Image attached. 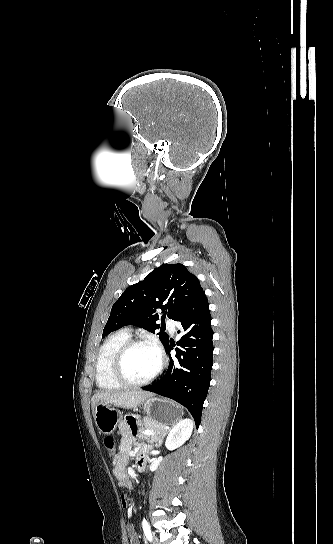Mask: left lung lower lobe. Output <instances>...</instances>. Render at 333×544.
<instances>
[{"mask_svg": "<svg viewBox=\"0 0 333 544\" xmlns=\"http://www.w3.org/2000/svg\"><path fill=\"white\" fill-rule=\"evenodd\" d=\"M175 321L182 326L177 332L182 335L177 342L181 348H176L175 358L170 356L165 375L157 383L142 389L185 406L198 428L213 365V331L205 293L197 297ZM173 346L174 343L169 340L165 346L167 353Z\"/></svg>", "mask_w": 333, "mask_h": 544, "instance_id": "1", "label": "left lung lower lobe"}]
</instances>
